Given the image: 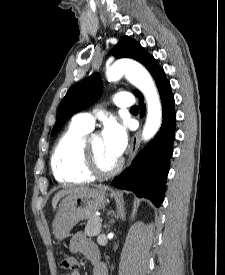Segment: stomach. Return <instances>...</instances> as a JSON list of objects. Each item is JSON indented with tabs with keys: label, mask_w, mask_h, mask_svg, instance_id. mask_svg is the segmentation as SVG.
<instances>
[{
	"label": "stomach",
	"mask_w": 225,
	"mask_h": 275,
	"mask_svg": "<svg viewBox=\"0 0 225 275\" xmlns=\"http://www.w3.org/2000/svg\"><path fill=\"white\" fill-rule=\"evenodd\" d=\"M105 201V187L67 195L58 205L52 222L55 238H65L78 222L89 219L100 210Z\"/></svg>",
	"instance_id": "1"
}]
</instances>
